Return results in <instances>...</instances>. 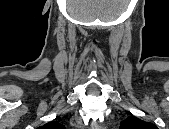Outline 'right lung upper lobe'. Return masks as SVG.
<instances>
[{"label": "right lung upper lobe", "mask_w": 169, "mask_h": 129, "mask_svg": "<svg viewBox=\"0 0 169 129\" xmlns=\"http://www.w3.org/2000/svg\"><path fill=\"white\" fill-rule=\"evenodd\" d=\"M43 129H63L64 126L59 124L58 122H49L42 126Z\"/></svg>", "instance_id": "obj_1"}]
</instances>
